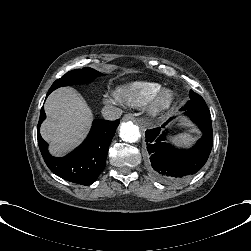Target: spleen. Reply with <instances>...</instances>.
<instances>
[{
	"mask_svg": "<svg viewBox=\"0 0 251 251\" xmlns=\"http://www.w3.org/2000/svg\"><path fill=\"white\" fill-rule=\"evenodd\" d=\"M197 138L193 137L192 135L188 133H181L176 136H174L171 141L176 145V146H190Z\"/></svg>",
	"mask_w": 251,
	"mask_h": 251,
	"instance_id": "obj_1",
	"label": "spleen"
}]
</instances>
